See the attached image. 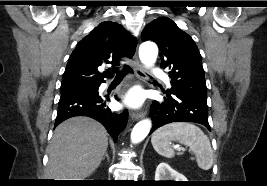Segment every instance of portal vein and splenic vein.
<instances>
[{
	"label": "portal vein and splenic vein",
	"mask_w": 267,
	"mask_h": 186,
	"mask_svg": "<svg viewBox=\"0 0 267 186\" xmlns=\"http://www.w3.org/2000/svg\"><path fill=\"white\" fill-rule=\"evenodd\" d=\"M176 149H177L178 151L183 150V148H181L179 145L176 146Z\"/></svg>",
	"instance_id": "18ae733b"
}]
</instances>
